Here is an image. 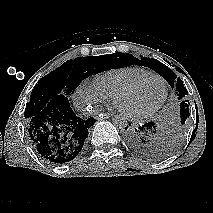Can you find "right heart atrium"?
<instances>
[{"label": "right heart atrium", "mask_w": 213, "mask_h": 213, "mask_svg": "<svg viewBox=\"0 0 213 213\" xmlns=\"http://www.w3.org/2000/svg\"><path fill=\"white\" fill-rule=\"evenodd\" d=\"M75 101L79 107L90 109L108 103L109 98L99 90L95 83L85 81L77 88Z\"/></svg>", "instance_id": "d8ad5b80"}]
</instances>
